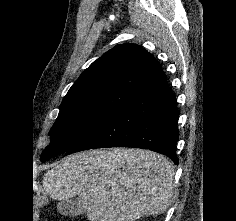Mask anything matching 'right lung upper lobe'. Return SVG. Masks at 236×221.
Returning a JSON list of instances; mask_svg holds the SVG:
<instances>
[{
	"label": "right lung upper lobe",
	"mask_w": 236,
	"mask_h": 221,
	"mask_svg": "<svg viewBox=\"0 0 236 221\" xmlns=\"http://www.w3.org/2000/svg\"><path fill=\"white\" fill-rule=\"evenodd\" d=\"M164 76L161 65L144 48L129 43L117 45L81 74L62 104L99 91L126 90L136 93Z\"/></svg>",
	"instance_id": "cb5924a9"
}]
</instances>
